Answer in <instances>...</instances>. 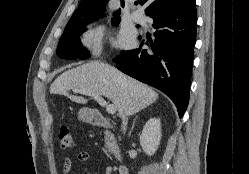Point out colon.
Wrapping results in <instances>:
<instances>
[{
  "instance_id": "1",
  "label": "colon",
  "mask_w": 249,
  "mask_h": 174,
  "mask_svg": "<svg viewBox=\"0 0 249 174\" xmlns=\"http://www.w3.org/2000/svg\"><path fill=\"white\" fill-rule=\"evenodd\" d=\"M58 140L63 149H72L75 146L74 137L70 129L62 126L58 131Z\"/></svg>"
}]
</instances>
